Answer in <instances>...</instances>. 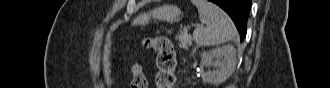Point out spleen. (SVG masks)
<instances>
[{
	"instance_id": "obj_1",
	"label": "spleen",
	"mask_w": 330,
	"mask_h": 88,
	"mask_svg": "<svg viewBox=\"0 0 330 88\" xmlns=\"http://www.w3.org/2000/svg\"><path fill=\"white\" fill-rule=\"evenodd\" d=\"M192 3L198 9L201 23L206 25L197 27L193 32L197 45H218L237 38L234 23L220 7L207 0H192Z\"/></svg>"
}]
</instances>
